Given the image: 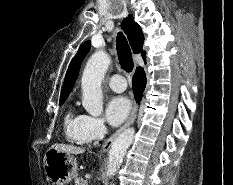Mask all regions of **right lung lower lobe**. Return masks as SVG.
Wrapping results in <instances>:
<instances>
[{
  "instance_id": "right-lung-lower-lobe-1",
  "label": "right lung lower lobe",
  "mask_w": 233,
  "mask_h": 185,
  "mask_svg": "<svg viewBox=\"0 0 233 185\" xmlns=\"http://www.w3.org/2000/svg\"><path fill=\"white\" fill-rule=\"evenodd\" d=\"M132 83L135 99L138 102L142 97V93L146 85V77L143 68H137L136 73L133 76Z\"/></svg>"
}]
</instances>
